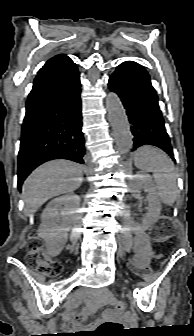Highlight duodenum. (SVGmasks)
Instances as JSON below:
<instances>
[{"label": "duodenum", "instance_id": "duodenum-1", "mask_svg": "<svg viewBox=\"0 0 194 336\" xmlns=\"http://www.w3.org/2000/svg\"><path fill=\"white\" fill-rule=\"evenodd\" d=\"M91 302L93 305L97 306L98 305V301L96 299H91Z\"/></svg>", "mask_w": 194, "mask_h": 336}]
</instances>
